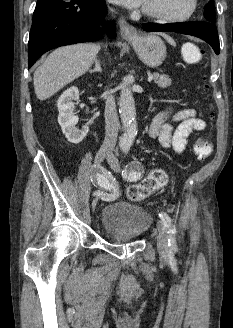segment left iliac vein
<instances>
[{"instance_id":"4c4485c4","label":"left iliac vein","mask_w":233,"mask_h":328,"mask_svg":"<svg viewBox=\"0 0 233 328\" xmlns=\"http://www.w3.org/2000/svg\"><path fill=\"white\" fill-rule=\"evenodd\" d=\"M106 159L113 171L115 172L120 171L119 160L112 152H108ZM157 230H158V236H157L158 251L162 256H166L168 254V249H169L168 236H167L166 229L161 221L157 222Z\"/></svg>"}]
</instances>
